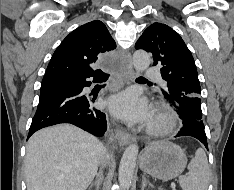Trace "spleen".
I'll use <instances>...</instances> for the list:
<instances>
[{
	"label": "spleen",
	"instance_id": "spleen-1",
	"mask_svg": "<svg viewBox=\"0 0 234 190\" xmlns=\"http://www.w3.org/2000/svg\"><path fill=\"white\" fill-rule=\"evenodd\" d=\"M189 173L179 177L182 190H207L210 168L203 149L198 148L188 165Z\"/></svg>",
	"mask_w": 234,
	"mask_h": 190
}]
</instances>
